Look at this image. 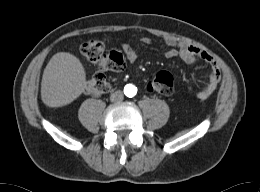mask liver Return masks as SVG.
Segmentation results:
<instances>
[{"instance_id": "obj_1", "label": "liver", "mask_w": 260, "mask_h": 192, "mask_svg": "<svg viewBox=\"0 0 260 192\" xmlns=\"http://www.w3.org/2000/svg\"><path fill=\"white\" fill-rule=\"evenodd\" d=\"M86 86V72L73 54L59 52L44 69L41 98L49 107H61L77 99Z\"/></svg>"}]
</instances>
